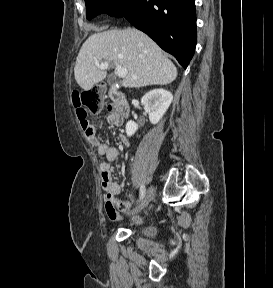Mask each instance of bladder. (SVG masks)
<instances>
[{"label":"bladder","instance_id":"obj_1","mask_svg":"<svg viewBox=\"0 0 273 288\" xmlns=\"http://www.w3.org/2000/svg\"><path fill=\"white\" fill-rule=\"evenodd\" d=\"M155 235L156 231L154 227L145 226L137 233V238L145 241H151L155 237Z\"/></svg>","mask_w":273,"mask_h":288}]
</instances>
